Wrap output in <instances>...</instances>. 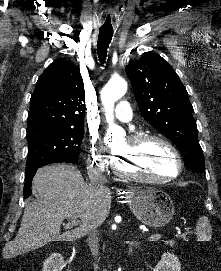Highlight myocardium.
Instances as JSON below:
<instances>
[{"mask_svg":"<svg viewBox=\"0 0 221 271\" xmlns=\"http://www.w3.org/2000/svg\"><path fill=\"white\" fill-rule=\"evenodd\" d=\"M141 134H144V137H141ZM170 140L171 138L160 134L155 131H147L144 133H135V137H130L128 144L131 145H139V149L141 145H147L149 142H155V145H161V147H165L168 155H171V164L173 165V170H176L173 174L166 177H154L151 175H142L139 173H129L128 170H121V163H119V158H110V171H115V176H120V179H129V178H148L147 182L152 184H164L168 182L167 178H179L184 170L182 165L179 164L178 159V151L175 150V145H172ZM137 169V167H136Z\"/></svg>","mask_w":221,"mask_h":271,"instance_id":"1","label":"myocardium"}]
</instances>
